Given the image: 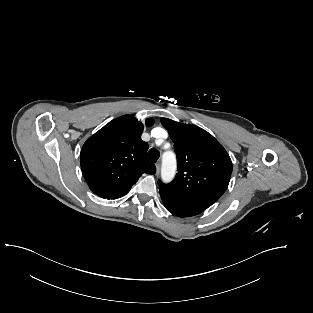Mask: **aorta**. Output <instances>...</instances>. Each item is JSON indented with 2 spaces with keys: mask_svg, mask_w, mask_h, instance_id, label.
I'll return each mask as SVG.
<instances>
[{
  "mask_svg": "<svg viewBox=\"0 0 313 313\" xmlns=\"http://www.w3.org/2000/svg\"><path fill=\"white\" fill-rule=\"evenodd\" d=\"M176 173V157L173 152H165L162 156L161 177L166 183L170 182Z\"/></svg>",
  "mask_w": 313,
  "mask_h": 313,
  "instance_id": "1",
  "label": "aorta"
}]
</instances>
